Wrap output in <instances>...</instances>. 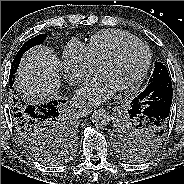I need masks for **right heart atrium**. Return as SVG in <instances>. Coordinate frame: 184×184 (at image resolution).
Wrapping results in <instances>:
<instances>
[{
	"instance_id": "1",
	"label": "right heart atrium",
	"mask_w": 184,
	"mask_h": 184,
	"mask_svg": "<svg viewBox=\"0 0 184 184\" xmlns=\"http://www.w3.org/2000/svg\"><path fill=\"white\" fill-rule=\"evenodd\" d=\"M65 77L71 85H77L98 70V64L92 59L87 45L74 39L62 53Z\"/></svg>"
}]
</instances>
